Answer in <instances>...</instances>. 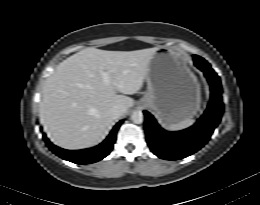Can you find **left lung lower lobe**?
Returning a JSON list of instances; mask_svg holds the SVG:
<instances>
[{
    "mask_svg": "<svg viewBox=\"0 0 260 205\" xmlns=\"http://www.w3.org/2000/svg\"><path fill=\"white\" fill-rule=\"evenodd\" d=\"M194 62L210 84L211 99L203 116L193 126L182 131L168 132L157 124L150 113L144 111L147 143L155 155L165 160L182 159L198 151L210 139L221 120L223 102L220 78L209 65L197 63L195 59Z\"/></svg>",
    "mask_w": 260,
    "mask_h": 205,
    "instance_id": "1",
    "label": "left lung lower lobe"
}]
</instances>
